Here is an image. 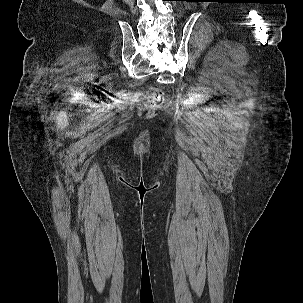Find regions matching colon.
Here are the masks:
<instances>
[{"label": "colon", "mask_w": 303, "mask_h": 303, "mask_svg": "<svg viewBox=\"0 0 303 303\" xmlns=\"http://www.w3.org/2000/svg\"><path fill=\"white\" fill-rule=\"evenodd\" d=\"M149 103L154 107L164 102L163 92L159 89H151L147 92Z\"/></svg>", "instance_id": "1"}]
</instances>
